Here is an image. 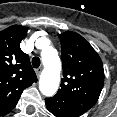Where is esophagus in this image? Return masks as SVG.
Wrapping results in <instances>:
<instances>
[{"mask_svg":"<svg viewBox=\"0 0 117 117\" xmlns=\"http://www.w3.org/2000/svg\"><path fill=\"white\" fill-rule=\"evenodd\" d=\"M41 71H42V69H41V68H38V69L36 70V74H37V76H40Z\"/></svg>","mask_w":117,"mask_h":117,"instance_id":"obj_1","label":"esophagus"}]
</instances>
